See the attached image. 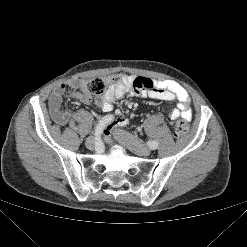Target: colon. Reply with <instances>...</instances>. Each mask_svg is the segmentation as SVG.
Masks as SVG:
<instances>
[{
  "label": "colon",
  "mask_w": 247,
  "mask_h": 247,
  "mask_svg": "<svg viewBox=\"0 0 247 247\" xmlns=\"http://www.w3.org/2000/svg\"><path fill=\"white\" fill-rule=\"evenodd\" d=\"M124 79L123 75H114L113 77L106 79V78H94L89 81L84 82V88L88 93H91L93 95H102L105 90L106 86L109 82H121ZM139 83L137 82V85ZM110 128H107L105 133L109 134ZM188 125L186 123V120L184 119H178L174 123V135L176 137H184L188 133Z\"/></svg>",
  "instance_id": "5ec220e1"
}]
</instances>
